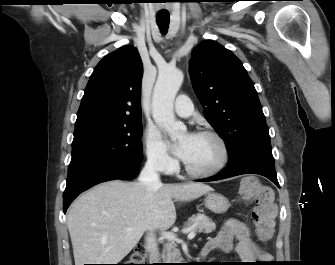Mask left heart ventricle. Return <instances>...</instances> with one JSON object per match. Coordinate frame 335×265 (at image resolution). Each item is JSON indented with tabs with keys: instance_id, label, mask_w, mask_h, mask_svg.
<instances>
[{
	"instance_id": "left-heart-ventricle-1",
	"label": "left heart ventricle",
	"mask_w": 335,
	"mask_h": 265,
	"mask_svg": "<svg viewBox=\"0 0 335 265\" xmlns=\"http://www.w3.org/2000/svg\"><path fill=\"white\" fill-rule=\"evenodd\" d=\"M188 135L181 139L185 141ZM220 147L211 137L193 135L185 163L195 170H208L218 162Z\"/></svg>"
}]
</instances>
